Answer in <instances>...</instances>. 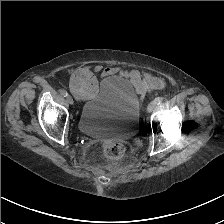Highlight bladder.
I'll list each match as a JSON object with an SVG mask.
<instances>
[{
	"mask_svg": "<svg viewBox=\"0 0 224 224\" xmlns=\"http://www.w3.org/2000/svg\"><path fill=\"white\" fill-rule=\"evenodd\" d=\"M136 96L113 78L101 81L98 91L86 100L78 117V129L96 139L129 140L139 128Z\"/></svg>",
	"mask_w": 224,
	"mask_h": 224,
	"instance_id": "1",
	"label": "bladder"
}]
</instances>
